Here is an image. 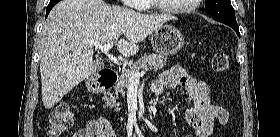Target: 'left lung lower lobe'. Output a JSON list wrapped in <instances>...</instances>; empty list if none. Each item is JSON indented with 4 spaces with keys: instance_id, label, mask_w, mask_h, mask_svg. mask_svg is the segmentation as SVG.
<instances>
[{
    "instance_id": "1",
    "label": "left lung lower lobe",
    "mask_w": 280,
    "mask_h": 137,
    "mask_svg": "<svg viewBox=\"0 0 280 137\" xmlns=\"http://www.w3.org/2000/svg\"><path fill=\"white\" fill-rule=\"evenodd\" d=\"M228 26H230L236 33L237 35L240 37V32H239V28L237 24H227Z\"/></svg>"
}]
</instances>
